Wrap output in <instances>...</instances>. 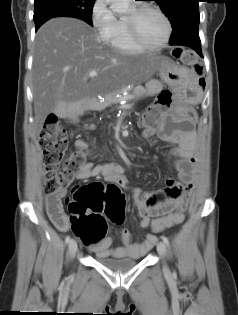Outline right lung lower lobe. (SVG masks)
I'll return each instance as SVG.
<instances>
[{
  "label": "right lung lower lobe",
  "instance_id": "obj_1",
  "mask_svg": "<svg viewBox=\"0 0 238 315\" xmlns=\"http://www.w3.org/2000/svg\"><path fill=\"white\" fill-rule=\"evenodd\" d=\"M49 19H51V18L42 19V20L36 22V23H35V25H36L35 30L37 31V30L39 29V27H40L43 23H45L47 20H49Z\"/></svg>",
  "mask_w": 238,
  "mask_h": 315
}]
</instances>
